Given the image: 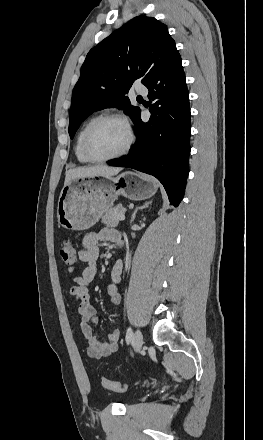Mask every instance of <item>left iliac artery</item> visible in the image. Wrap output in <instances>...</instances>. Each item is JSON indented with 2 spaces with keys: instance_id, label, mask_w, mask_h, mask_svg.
<instances>
[{
  "instance_id": "44dca946",
  "label": "left iliac artery",
  "mask_w": 263,
  "mask_h": 440,
  "mask_svg": "<svg viewBox=\"0 0 263 440\" xmlns=\"http://www.w3.org/2000/svg\"><path fill=\"white\" fill-rule=\"evenodd\" d=\"M132 338H133L132 329L130 327H128L127 331H126V343L129 344V342L132 340Z\"/></svg>"
}]
</instances>
